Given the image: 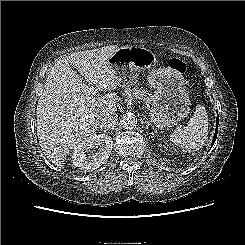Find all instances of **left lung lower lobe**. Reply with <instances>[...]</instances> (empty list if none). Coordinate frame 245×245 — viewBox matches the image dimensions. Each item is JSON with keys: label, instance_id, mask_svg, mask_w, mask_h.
<instances>
[{"label": "left lung lower lobe", "instance_id": "obj_1", "mask_svg": "<svg viewBox=\"0 0 245 245\" xmlns=\"http://www.w3.org/2000/svg\"><path fill=\"white\" fill-rule=\"evenodd\" d=\"M218 121H219V118L217 117V120H216V130H215V134H214V138L212 140V144H214L215 140H216V137H217V131H218Z\"/></svg>", "mask_w": 245, "mask_h": 245}]
</instances>
